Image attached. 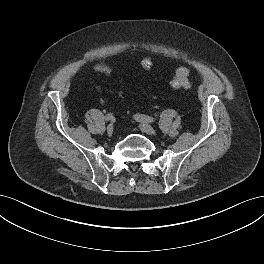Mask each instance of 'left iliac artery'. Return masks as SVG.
Masks as SVG:
<instances>
[{
	"mask_svg": "<svg viewBox=\"0 0 264 264\" xmlns=\"http://www.w3.org/2000/svg\"><path fill=\"white\" fill-rule=\"evenodd\" d=\"M135 119L140 121V122H146V123H152L154 122L156 119L147 115H143V114H136L135 115Z\"/></svg>",
	"mask_w": 264,
	"mask_h": 264,
	"instance_id": "44dca946",
	"label": "left iliac artery"
}]
</instances>
